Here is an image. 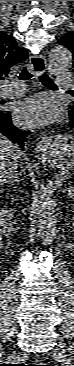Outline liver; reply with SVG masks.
Wrapping results in <instances>:
<instances>
[{
	"mask_svg": "<svg viewBox=\"0 0 74 366\" xmlns=\"http://www.w3.org/2000/svg\"><path fill=\"white\" fill-rule=\"evenodd\" d=\"M24 157L17 144L0 135V184L18 175L19 160Z\"/></svg>",
	"mask_w": 74,
	"mask_h": 366,
	"instance_id": "obj_1",
	"label": "liver"
}]
</instances>
